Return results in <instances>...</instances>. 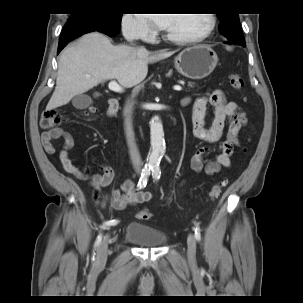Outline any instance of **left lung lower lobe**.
<instances>
[{"mask_svg":"<svg viewBox=\"0 0 303 303\" xmlns=\"http://www.w3.org/2000/svg\"><path fill=\"white\" fill-rule=\"evenodd\" d=\"M235 44H238V45H241V46H245V43H235Z\"/></svg>","mask_w":303,"mask_h":303,"instance_id":"0a47b994","label":"left lung lower lobe"}]
</instances>
